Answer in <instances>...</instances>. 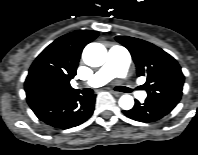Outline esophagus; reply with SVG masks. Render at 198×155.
I'll return each instance as SVG.
<instances>
[{
    "label": "esophagus",
    "mask_w": 198,
    "mask_h": 155,
    "mask_svg": "<svg viewBox=\"0 0 198 155\" xmlns=\"http://www.w3.org/2000/svg\"><path fill=\"white\" fill-rule=\"evenodd\" d=\"M111 93H112L113 95L117 96V97L122 95L121 92L114 91V90H111Z\"/></svg>",
    "instance_id": "34e87169"
}]
</instances>
